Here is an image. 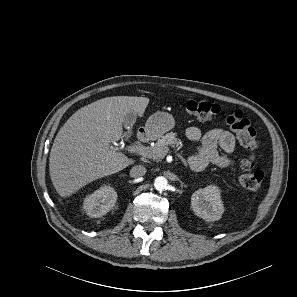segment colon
I'll list each match as a JSON object with an SVG mask.
<instances>
[{"instance_id":"obj_1","label":"colon","mask_w":297,"mask_h":297,"mask_svg":"<svg viewBox=\"0 0 297 297\" xmlns=\"http://www.w3.org/2000/svg\"><path fill=\"white\" fill-rule=\"evenodd\" d=\"M184 107L188 113L201 121H210L221 111L217 104L194 99L187 101ZM226 123L236 133L240 144L249 152L248 156L240 162L241 173L238 176V182L242 187L256 191L263 179L261 171H253L258 148L256 130L241 110L232 111L227 116Z\"/></svg>"}]
</instances>
